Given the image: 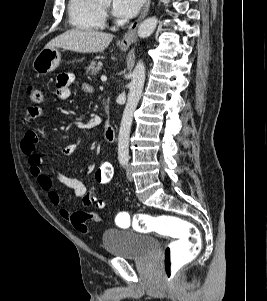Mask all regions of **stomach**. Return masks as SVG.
<instances>
[{
    "instance_id": "stomach-1",
    "label": "stomach",
    "mask_w": 267,
    "mask_h": 301,
    "mask_svg": "<svg viewBox=\"0 0 267 301\" xmlns=\"http://www.w3.org/2000/svg\"><path fill=\"white\" fill-rule=\"evenodd\" d=\"M120 49L126 51L128 46H120ZM60 61L61 55L58 48H44L34 59L33 68L38 74L47 75L59 66Z\"/></svg>"
}]
</instances>
